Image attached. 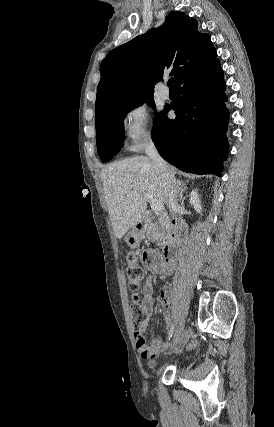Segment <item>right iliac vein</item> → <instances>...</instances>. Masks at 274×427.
Listing matches in <instances>:
<instances>
[{
  "instance_id": "obj_1",
  "label": "right iliac vein",
  "mask_w": 274,
  "mask_h": 427,
  "mask_svg": "<svg viewBox=\"0 0 274 427\" xmlns=\"http://www.w3.org/2000/svg\"><path fill=\"white\" fill-rule=\"evenodd\" d=\"M184 326H185V321L182 320L179 323V325H178V327L176 329V332L174 334L170 350H169V352L165 356L166 359L169 357V355L171 354V351L174 348H176L177 346H178V348H181L182 344L184 343V341H185V335H184V332H183Z\"/></svg>"
}]
</instances>
